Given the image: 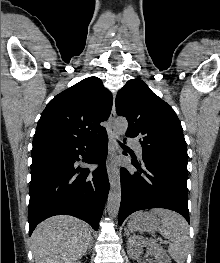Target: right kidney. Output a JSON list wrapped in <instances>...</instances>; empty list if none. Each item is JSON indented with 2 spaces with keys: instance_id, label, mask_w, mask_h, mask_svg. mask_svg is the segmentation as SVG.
Wrapping results in <instances>:
<instances>
[{
  "instance_id": "obj_1",
  "label": "right kidney",
  "mask_w": 220,
  "mask_h": 263,
  "mask_svg": "<svg viewBox=\"0 0 220 263\" xmlns=\"http://www.w3.org/2000/svg\"><path fill=\"white\" fill-rule=\"evenodd\" d=\"M74 263H82L81 261H77V262H74Z\"/></svg>"
}]
</instances>
